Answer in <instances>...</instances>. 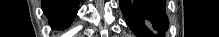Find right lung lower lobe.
Listing matches in <instances>:
<instances>
[{
	"label": "right lung lower lobe",
	"mask_w": 219,
	"mask_h": 37,
	"mask_svg": "<svg viewBox=\"0 0 219 37\" xmlns=\"http://www.w3.org/2000/svg\"><path fill=\"white\" fill-rule=\"evenodd\" d=\"M78 0H43L42 8L55 29L67 27L77 11Z\"/></svg>",
	"instance_id": "right-lung-lower-lobe-1"
}]
</instances>
